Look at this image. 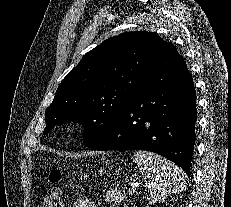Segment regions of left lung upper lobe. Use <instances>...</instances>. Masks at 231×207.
<instances>
[{
    "mask_svg": "<svg viewBox=\"0 0 231 207\" xmlns=\"http://www.w3.org/2000/svg\"><path fill=\"white\" fill-rule=\"evenodd\" d=\"M171 46L157 34L143 31L102 42L59 85L45 112L43 134L57 124L73 121L84 127L85 146L97 144L144 91L147 75Z\"/></svg>",
    "mask_w": 231,
    "mask_h": 207,
    "instance_id": "1",
    "label": "left lung upper lobe"
}]
</instances>
